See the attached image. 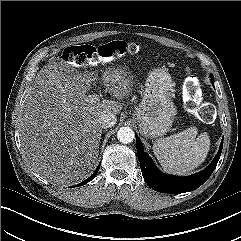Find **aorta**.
I'll use <instances>...</instances> for the list:
<instances>
[{
    "mask_svg": "<svg viewBox=\"0 0 241 241\" xmlns=\"http://www.w3.org/2000/svg\"><path fill=\"white\" fill-rule=\"evenodd\" d=\"M117 138L124 144L131 143L135 138V133L130 127H121L117 132Z\"/></svg>",
    "mask_w": 241,
    "mask_h": 241,
    "instance_id": "1",
    "label": "aorta"
}]
</instances>
